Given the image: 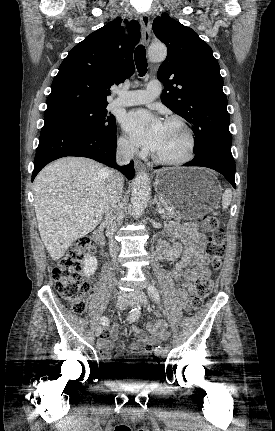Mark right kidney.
<instances>
[{"label": "right kidney", "mask_w": 275, "mask_h": 431, "mask_svg": "<svg viewBox=\"0 0 275 431\" xmlns=\"http://www.w3.org/2000/svg\"><path fill=\"white\" fill-rule=\"evenodd\" d=\"M97 265V259L88 254L83 260V274L89 278L96 271Z\"/></svg>", "instance_id": "ca27d5eb"}]
</instances>
